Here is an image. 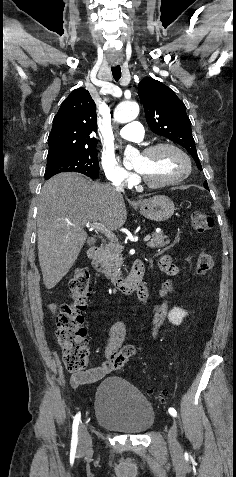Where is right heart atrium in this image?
Returning a JSON list of instances; mask_svg holds the SVG:
<instances>
[{"mask_svg": "<svg viewBox=\"0 0 236 477\" xmlns=\"http://www.w3.org/2000/svg\"><path fill=\"white\" fill-rule=\"evenodd\" d=\"M101 167L105 178L112 184L128 185L135 180L134 175L121 166L111 154L102 156Z\"/></svg>", "mask_w": 236, "mask_h": 477, "instance_id": "obj_1", "label": "right heart atrium"}]
</instances>
